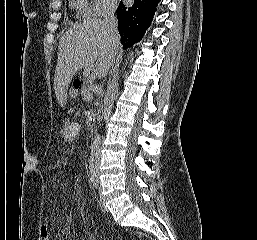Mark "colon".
Instances as JSON below:
<instances>
[{"instance_id":"1","label":"colon","mask_w":257,"mask_h":240,"mask_svg":"<svg viewBox=\"0 0 257 240\" xmlns=\"http://www.w3.org/2000/svg\"><path fill=\"white\" fill-rule=\"evenodd\" d=\"M79 85H80V83H79L78 80L73 81L72 86H71L70 91H69V95H70L71 98H76L77 97L78 90H79ZM39 235H40L41 240H50V231H49V228L46 224H43L40 227Z\"/></svg>"}]
</instances>
